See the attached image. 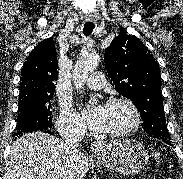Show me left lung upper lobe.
I'll list each match as a JSON object with an SVG mask.
<instances>
[{
    "instance_id": "obj_1",
    "label": "left lung upper lobe",
    "mask_w": 183,
    "mask_h": 179,
    "mask_svg": "<svg viewBox=\"0 0 183 179\" xmlns=\"http://www.w3.org/2000/svg\"><path fill=\"white\" fill-rule=\"evenodd\" d=\"M105 67L115 90L136 105L144 131L170 140L164 115L161 76L157 61L136 36L122 29L105 50Z\"/></svg>"
}]
</instances>
